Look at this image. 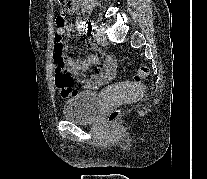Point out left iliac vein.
<instances>
[{"label": "left iliac vein", "mask_w": 207, "mask_h": 179, "mask_svg": "<svg viewBox=\"0 0 207 179\" xmlns=\"http://www.w3.org/2000/svg\"><path fill=\"white\" fill-rule=\"evenodd\" d=\"M95 40L98 44H104L107 41L106 35L101 25L96 26Z\"/></svg>", "instance_id": "obj_1"}]
</instances>
